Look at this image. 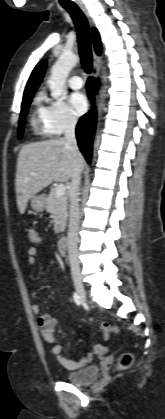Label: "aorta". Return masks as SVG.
<instances>
[{
  "instance_id": "762f6f07",
  "label": "aorta",
  "mask_w": 165,
  "mask_h": 419,
  "mask_svg": "<svg viewBox=\"0 0 165 419\" xmlns=\"http://www.w3.org/2000/svg\"><path fill=\"white\" fill-rule=\"evenodd\" d=\"M77 62L78 56L72 53H63L58 58L51 69V76L48 80L52 97L57 98L63 93L66 78Z\"/></svg>"
}]
</instances>
